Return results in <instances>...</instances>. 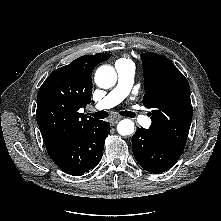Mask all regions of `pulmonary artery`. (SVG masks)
Returning a JSON list of instances; mask_svg holds the SVG:
<instances>
[{"label": "pulmonary artery", "instance_id": "e3ab8cb5", "mask_svg": "<svg viewBox=\"0 0 221 221\" xmlns=\"http://www.w3.org/2000/svg\"><path fill=\"white\" fill-rule=\"evenodd\" d=\"M115 68L118 75L117 85L96 104L95 108L98 110H107L114 107L123 101L130 93L134 80V66L131 63L116 64ZM134 117L144 126L151 125V119L146 116L134 113Z\"/></svg>", "mask_w": 221, "mask_h": 221}]
</instances>
